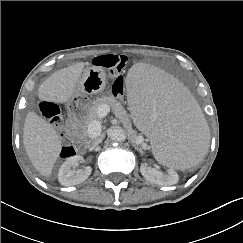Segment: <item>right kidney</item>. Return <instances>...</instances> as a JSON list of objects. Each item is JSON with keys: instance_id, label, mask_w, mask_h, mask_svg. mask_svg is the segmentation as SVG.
I'll use <instances>...</instances> for the list:
<instances>
[{"instance_id": "ca27d5eb", "label": "right kidney", "mask_w": 243, "mask_h": 243, "mask_svg": "<svg viewBox=\"0 0 243 243\" xmlns=\"http://www.w3.org/2000/svg\"><path fill=\"white\" fill-rule=\"evenodd\" d=\"M84 159L79 155L69 157L60 167L58 172V181L63 186H73L85 181L91 174L92 168L86 166L77 171L72 167Z\"/></svg>"}]
</instances>
